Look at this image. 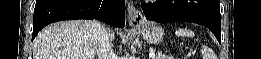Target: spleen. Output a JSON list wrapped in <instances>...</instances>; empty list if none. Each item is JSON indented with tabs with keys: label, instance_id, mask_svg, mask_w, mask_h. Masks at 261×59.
I'll return each instance as SVG.
<instances>
[{
	"label": "spleen",
	"instance_id": "1",
	"mask_svg": "<svg viewBox=\"0 0 261 59\" xmlns=\"http://www.w3.org/2000/svg\"><path fill=\"white\" fill-rule=\"evenodd\" d=\"M175 34L177 36L188 37V38H193L195 36V33L192 30L183 29V28L176 30ZM202 54H203V59H210L213 56L212 50L206 46H203Z\"/></svg>",
	"mask_w": 261,
	"mask_h": 59
}]
</instances>
